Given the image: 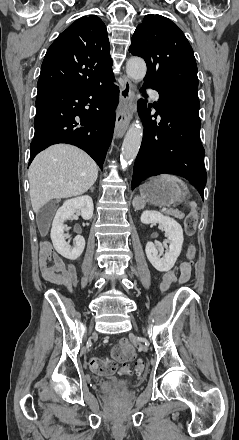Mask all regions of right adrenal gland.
<instances>
[{
  "label": "right adrenal gland",
  "mask_w": 239,
  "mask_h": 440,
  "mask_svg": "<svg viewBox=\"0 0 239 440\" xmlns=\"http://www.w3.org/2000/svg\"><path fill=\"white\" fill-rule=\"evenodd\" d=\"M91 192H93L94 188H90Z\"/></svg>",
  "instance_id": "right-adrenal-gland-1"
}]
</instances>
